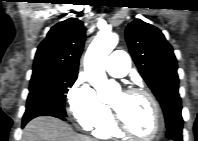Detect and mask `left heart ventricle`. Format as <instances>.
<instances>
[{
	"mask_svg": "<svg viewBox=\"0 0 198 141\" xmlns=\"http://www.w3.org/2000/svg\"><path fill=\"white\" fill-rule=\"evenodd\" d=\"M110 105L119 113L124 124L135 134L149 137L154 133V111L147 97L140 94L117 92Z\"/></svg>",
	"mask_w": 198,
	"mask_h": 141,
	"instance_id": "obj_1",
	"label": "left heart ventricle"
}]
</instances>
